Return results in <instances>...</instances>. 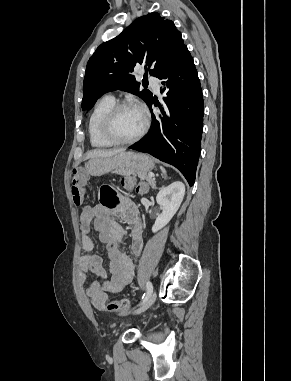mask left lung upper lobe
I'll list each match as a JSON object with an SVG mask.
<instances>
[{
  "mask_svg": "<svg viewBox=\"0 0 291 381\" xmlns=\"http://www.w3.org/2000/svg\"><path fill=\"white\" fill-rule=\"evenodd\" d=\"M186 47L173 21L158 13L136 19L120 35L101 44L89 59L82 109H91L104 93L117 89L139 96L148 105L152 93L140 89L132 75L134 67L142 64L159 78Z\"/></svg>",
  "mask_w": 291,
  "mask_h": 381,
  "instance_id": "5c2ea615",
  "label": "left lung upper lobe"
}]
</instances>
